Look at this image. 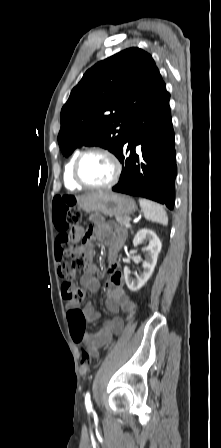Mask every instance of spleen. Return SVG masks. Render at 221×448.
Wrapping results in <instances>:
<instances>
[{"label": "spleen", "instance_id": "3e777b00", "mask_svg": "<svg viewBox=\"0 0 221 448\" xmlns=\"http://www.w3.org/2000/svg\"><path fill=\"white\" fill-rule=\"evenodd\" d=\"M140 206L145 218L148 221L159 223L165 226L168 224L167 213L164 210L163 206H161L160 204L147 199H141Z\"/></svg>", "mask_w": 221, "mask_h": 448}]
</instances>
